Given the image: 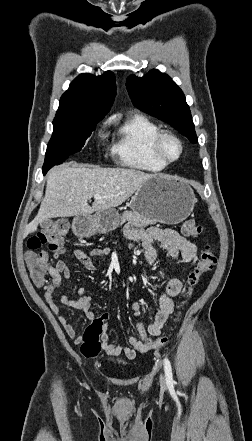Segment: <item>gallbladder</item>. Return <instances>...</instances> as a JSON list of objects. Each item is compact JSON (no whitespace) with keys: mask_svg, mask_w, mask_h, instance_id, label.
Returning <instances> with one entry per match:
<instances>
[{"mask_svg":"<svg viewBox=\"0 0 252 441\" xmlns=\"http://www.w3.org/2000/svg\"><path fill=\"white\" fill-rule=\"evenodd\" d=\"M53 225V221L52 220H45L42 223H40L41 228L43 229H48L49 227H51Z\"/></svg>","mask_w":252,"mask_h":441,"instance_id":"gallbladder-1","label":"gallbladder"}]
</instances>
